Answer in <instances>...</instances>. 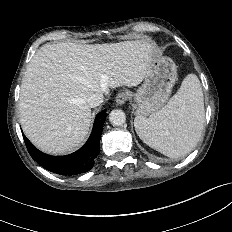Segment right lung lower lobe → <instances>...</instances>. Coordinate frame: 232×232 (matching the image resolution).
I'll list each match as a JSON object with an SVG mask.
<instances>
[{
    "label": "right lung lower lobe",
    "instance_id": "98d812e1",
    "mask_svg": "<svg viewBox=\"0 0 232 232\" xmlns=\"http://www.w3.org/2000/svg\"><path fill=\"white\" fill-rule=\"evenodd\" d=\"M106 119V109L97 114L91 135L85 145L66 156H50L39 151L23 135L31 157L45 169L60 175H76L89 171L100 151V137Z\"/></svg>",
    "mask_w": 232,
    "mask_h": 232
}]
</instances>
